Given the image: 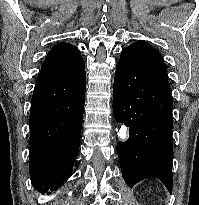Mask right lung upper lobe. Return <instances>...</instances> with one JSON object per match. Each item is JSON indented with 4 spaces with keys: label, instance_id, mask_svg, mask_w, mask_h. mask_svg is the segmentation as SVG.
Here are the masks:
<instances>
[{
    "label": "right lung upper lobe",
    "instance_id": "obj_1",
    "mask_svg": "<svg viewBox=\"0 0 199 205\" xmlns=\"http://www.w3.org/2000/svg\"><path fill=\"white\" fill-rule=\"evenodd\" d=\"M85 70V62L80 51L69 43L55 45L46 56L38 80L47 81V86L58 89L59 84Z\"/></svg>",
    "mask_w": 199,
    "mask_h": 205
}]
</instances>
